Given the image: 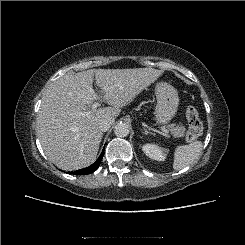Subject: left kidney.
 <instances>
[{"label":"left kidney","mask_w":245,"mask_h":245,"mask_svg":"<svg viewBox=\"0 0 245 245\" xmlns=\"http://www.w3.org/2000/svg\"><path fill=\"white\" fill-rule=\"evenodd\" d=\"M143 152L149 158L157 161H164L165 160V152L161 149L158 145L147 143L142 146Z\"/></svg>","instance_id":"obj_1"}]
</instances>
